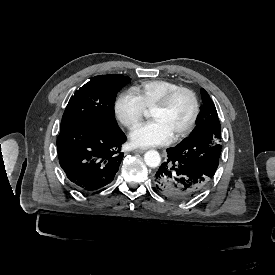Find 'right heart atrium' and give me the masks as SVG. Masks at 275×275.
Segmentation results:
<instances>
[{
    "instance_id": "1",
    "label": "right heart atrium",
    "mask_w": 275,
    "mask_h": 275,
    "mask_svg": "<svg viewBox=\"0 0 275 275\" xmlns=\"http://www.w3.org/2000/svg\"><path fill=\"white\" fill-rule=\"evenodd\" d=\"M147 109L132 91L122 93L115 102V112L121 123L128 129L135 127Z\"/></svg>"
}]
</instances>
